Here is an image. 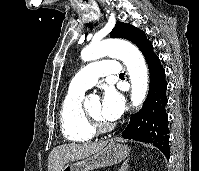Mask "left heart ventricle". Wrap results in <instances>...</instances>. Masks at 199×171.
Segmentation results:
<instances>
[{
    "instance_id": "b2bd125f",
    "label": "left heart ventricle",
    "mask_w": 199,
    "mask_h": 171,
    "mask_svg": "<svg viewBox=\"0 0 199 171\" xmlns=\"http://www.w3.org/2000/svg\"><path fill=\"white\" fill-rule=\"evenodd\" d=\"M100 103L99 102H96L94 104H92L89 108H88V111L93 114L95 117L99 118L100 120L104 121L102 118H101V115H100ZM105 122V121H104Z\"/></svg>"
}]
</instances>
